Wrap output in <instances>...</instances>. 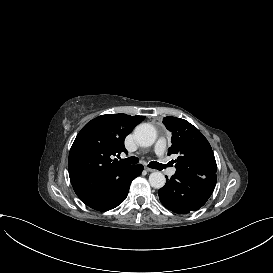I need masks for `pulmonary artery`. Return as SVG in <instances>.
Wrapping results in <instances>:
<instances>
[{"label": "pulmonary artery", "mask_w": 273, "mask_h": 273, "mask_svg": "<svg viewBox=\"0 0 273 273\" xmlns=\"http://www.w3.org/2000/svg\"><path fill=\"white\" fill-rule=\"evenodd\" d=\"M168 145V140L166 138H160L158 140V143L155 145V150L160 154L159 159L161 162L162 167H164V170L166 172L167 177L172 178L175 175V171L173 169V166L168 160L167 154H165L166 149L165 147Z\"/></svg>", "instance_id": "pulmonary-artery-1"}]
</instances>
